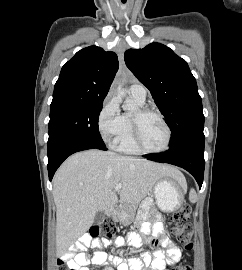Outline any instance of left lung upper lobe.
I'll return each instance as SVG.
<instances>
[{
    "instance_id": "5c2ea615",
    "label": "left lung upper lobe",
    "mask_w": 242,
    "mask_h": 270,
    "mask_svg": "<svg viewBox=\"0 0 242 270\" xmlns=\"http://www.w3.org/2000/svg\"><path fill=\"white\" fill-rule=\"evenodd\" d=\"M125 63L151 92L171 129L170 148L204 136L202 100L187 62L169 47L151 43L125 52Z\"/></svg>"
}]
</instances>
